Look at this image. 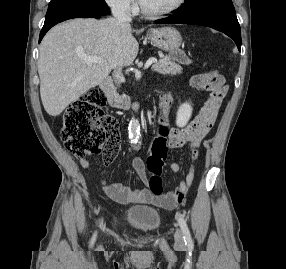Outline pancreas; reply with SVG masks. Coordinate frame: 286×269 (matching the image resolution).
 Wrapping results in <instances>:
<instances>
[{
  "mask_svg": "<svg viewBox=\"0 0 286 269\" xmlns=\"http://www.w3.org/2000/svg\"><path fill=\"white\" fill-rule=\"evenodd\" d=\"M152 68L160 74L177 75L182 72V67L171 61L168 57L159 59L153 64Z\"/></svg>",
  "mask_w": 286,
  "mask_h": 269,
  "instance_id": "obj_1",
  "label": "pancreas"
}]
</instances>
